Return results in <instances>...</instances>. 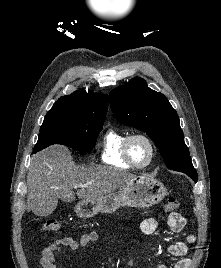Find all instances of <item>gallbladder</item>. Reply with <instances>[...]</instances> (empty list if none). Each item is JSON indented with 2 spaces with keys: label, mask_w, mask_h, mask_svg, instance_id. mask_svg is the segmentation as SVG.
I'll return each mask as SVG.
<instances>
[{
  "label": "gallbladder",
  "mask_w": 221,
  "mask_h": 268,
  "mask_svg": "<svg viewBox=\"0 0 221 268\" xmlns=\"http://www.w3.org/2000/svg\"><path fill=\"white\" fill-rule=\"evenodd\" d=\"M56 207V199H33L35 217H48Z\"/></svg>",
  "instance_id": "bac80fb5"
}]
</instances>
